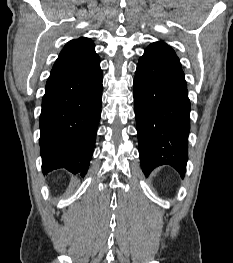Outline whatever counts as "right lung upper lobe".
I'll list each match as a JSON object with an SVG mask.
<instances>
[{
  "label": "right lung upper lobe",
  "mask_w": 233,
  "mask_h": 263,
  "mask_svg": "<svg viewBox=\"0 0 233 263\" xmlns=\"http://www.w3.org/2000/svg\"><path fill=\"white\" fill-rule=\"evenodd\" d=\"M99 60L94 50V43L91 39L80 37L69 41L59 54L51 74L72 75L82 74L90 69Z\"/></svg>",
  "instance_id": "1"
}]
</instances>
